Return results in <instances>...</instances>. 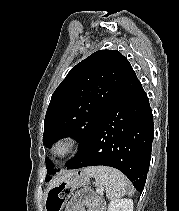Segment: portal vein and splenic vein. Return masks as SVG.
Instances as JSON below:
<instances>
[{
    "mask_svg": "<svg viewBox=\"0 0 179 211\" xmlns=\"http://www.w3.org/2000/svg\"><path fill=\"white\" fill-rule=\"evenodd\" d=\"M97 192L102 194L103 193V190L102 189H97Z\"/></svg>",
    "mask_w": 179,
    "mask_h": 211,
    "instance_id": "18ae733b",
    "label": "portal vein and splenic vein"
}]
</instances>
